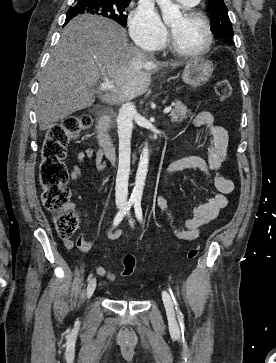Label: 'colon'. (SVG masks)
<instances>
[{"instance_id": "5ec220e1", "label": "colon", "mask_w": 276, "mask_h": 363, "mask_svg": "<svg viewBox=\"0 0 276 363\" xmlns=\"http://www.w3.org/2000/svg\"><path fill=\"white\" fill-rule=\"evenodd\" d=\"M215 92L220 100L227 99L232 93L230 81H218ZM91 123L92 120L88 115L69 116L48 129L42 145L39 168L42 202L44 207L54 214L55 230L61 238L73 236L79 225L78 212L69 205L71 192L66 186L69 172L64 163L67 155L66 147L82 130L89 128ZM197 254L198 248L192 247L187 252V258L194 259ZM135 263L133 255H126L123 259L125 267L123 274H132Z\"/></svg>"}]
</instances>
